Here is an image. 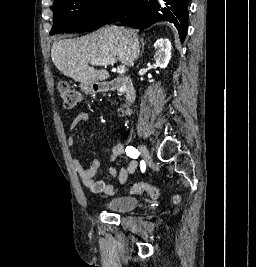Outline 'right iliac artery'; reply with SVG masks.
I'll return each mask as SVG.
<instances>
[{"label": "right iliac artery", "instance_id": "82829eb1", "mask_svg": "<svg viewBox=\"0 0 256 267\" xmlns=\"http://www.w3.org/2000/svg\"><path fill=\"white\" fill-rule=\"evenodd\" d=\"M126 154H127V156H129L130 158H134V159H136V158H138V156H139V152H138V150L137 149H135L134 147H132V146H128V147H126Z\"/></svg>", "mask_w": 256, "mask_h": 267}]
</instances>
